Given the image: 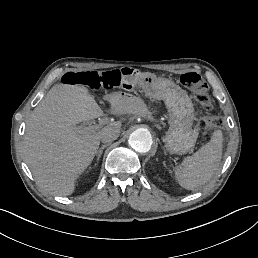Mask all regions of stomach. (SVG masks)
Segmentation results:
<instances>
[{
	"label": "stomach",
	"instance_id": "obj_1",
	"mask_svg": "<svg viewBox=\"0 0 258 258\" xmlns=\"http://www.w3.org/2000/svg\"><path fill=\"white\" fill-rule=\"evenodd\" d=\"M132 88L139 86L151 98L164 100L170 114V129L166 135V147L173 153H187L193 149L197 132L191 129L193 105L190 98L173 81L138 72L126 75Z\"/></svg>",
	"mask_w": 258,
	"mask_h": 258
}]
</instances>
